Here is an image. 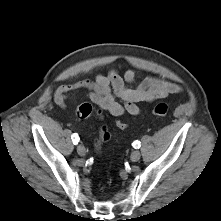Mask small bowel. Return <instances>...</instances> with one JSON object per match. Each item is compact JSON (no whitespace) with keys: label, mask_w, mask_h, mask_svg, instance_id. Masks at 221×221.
Here are the masks:
<instances>
[{"label":"small bowel","mask_w":221,"mask_h":221,"mask_svg":"<svg viewBox=\"0 0 221 221\" xmlns=\"http://www.w3.org/2000/svg\"><path fill=\"white\" fill-rule=\"evenodd\" d=\"M135 82L134 69H127L122 76L112 69L107 74H96L94 80L82 79L59 86L54 101L64 109L71 93L85 91L100 109L118 117L126 113L138 115L139 103L154 102L181 91L179 85L158 77H147L137 85Z\"/></svg>","instance_id":"small-bowel-1"}]
</instances>
